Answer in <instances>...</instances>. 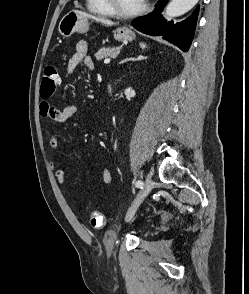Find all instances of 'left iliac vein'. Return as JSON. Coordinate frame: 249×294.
<instances>
[{"instance_id": "left-iliac-vein-1", "label": "left iliac vein", "mask_w": 249, "mask_h": 294, "mask_svg": "<svg viewBox=\"0 0 249 294\" xmlns=\"http://www.w3.org/2000/svg\"><path fill=\"white\" fill-rule=\"evenodd\" d=\"M152 188H153V181L148 176L145 179V183H144L143 188L141 189V191L137 195L136 199L134 200L133 204L131 205V207H130L128 213H127V216H126L127 220L132 219V217L134 216L137 208L142 203V201L146 198V196L151 192Z\"/></svg>"}]
</instances>
